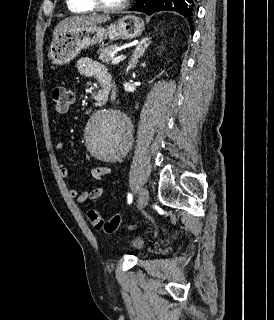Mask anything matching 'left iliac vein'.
<instances>
[{
  "mask_svg": "<svg viewBox=\"0 0 274 320\" xmlns=\"http://www.w3.org/2000/svg\"><path fill=\"white\" fill-rule=\"evenodd\" d=\"M148 200H149V192L147 188L144 187L140 190V193H139L138 208L139 209L144 208L147 205Z\"/></svg>",
  "mask_w": 274,
  "mask_h": 320,
  "instance_id": "1",
  "label": "left iliac vein"
}]
</instances>
